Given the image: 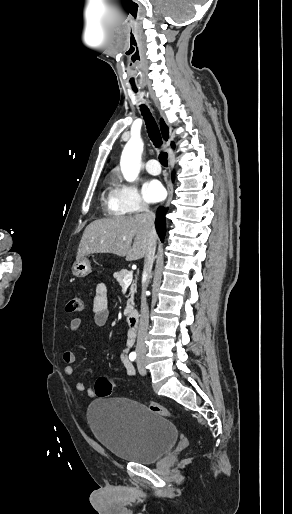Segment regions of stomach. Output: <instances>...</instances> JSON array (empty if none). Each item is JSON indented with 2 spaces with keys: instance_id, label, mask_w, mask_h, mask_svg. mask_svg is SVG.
Segmentation results:
<instances>
[{
  "instance_id": "0dacf381",
  "label": "stomach",
  "mask_w": 292,
  "mask_h": 514,
  "mask_svg": "<svg viewBox=\"0 0 292 514\" xmlns=\"http://www.w3.org/2000/svg\"><path fill=\"white\" fill-rule=\"evenodd\" d=\"M91 272V264L88 260V258H79V260H76L72 266V274L73 276H76V278H84V276H87V274H90Z\"/></svg>"
}]
</instances>
